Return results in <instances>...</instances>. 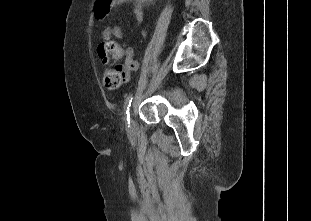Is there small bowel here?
Here are the masks:
<instances>
[{"mask_svg": "<svg viewBox=\"0 0 311 221\" xmlns=\"http://www.w3.org/2000/svg\"><path fill=\"white\" fill-rule=\"evenodd\" d=\"M142 2L143 0H114V5L119 6L122 4H131L136 20L141 23L144 18ZM113 36L121 41L124 40L120 26L115 25L102 33L103 42L98 46L97 50H105V44L110 42ZM100 60L102 65H107L109 63V57H100ZM124 67L127 76H129V74L135 71L138 67V64L134 58V51L132 48H127L125 50Z\"/></svg>", "mask_w": 311, "mask_h": 221, "instance_id": "c3829d8e", "label": "small bowel"}]
</instances>
